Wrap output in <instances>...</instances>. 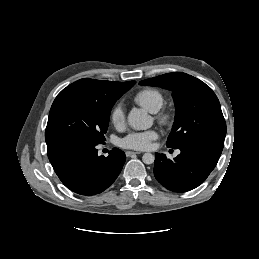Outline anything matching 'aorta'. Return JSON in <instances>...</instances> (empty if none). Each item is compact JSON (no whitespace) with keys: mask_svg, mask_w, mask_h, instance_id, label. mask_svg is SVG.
<instances>
[{"mask_svg":"<svg viewBox=\"0 0 259 259\" xmlns=\"http://www.w3.org/2000/svg\"><path fill=\"white\" fill-rule=\"evenodd\" d=\"M128 123L135 130H145L152 126V117L143 109H132L128 114ZM155 156L151 153H145L142 161L145 164L154 163Z\"/></svg>","mask_w":259,"mask_h":259,"instance_id":"obj_1","label":"aorta"}]
</instances>
